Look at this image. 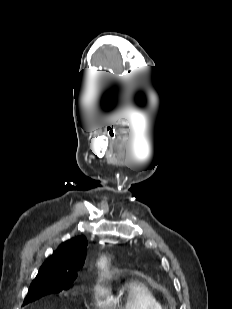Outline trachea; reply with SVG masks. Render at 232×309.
Returning <instances> with one entry per match:
<instances>
[{
  "mask_svg": "<svg viewBox=\"0 0 232 309\" xmlns=\"http://www.w3.org/2000/svg\"><path fill=\"white\" fill-rule=\"evenodd\" d=\"M109 136H110L111 138H114L115 134H114V132H113L112 130L109 131Z\"/></svg>",
  "mask_w": 232,
  "mask_h": 309,
  "instance_id": "trachea-1",
  "label": "trachea"
}]
</instances>
